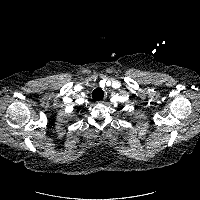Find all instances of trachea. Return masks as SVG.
I'll return each mask as SVG.
<instances>
[{"label":"trachea","mask_w":200,"mask_h":200,"mask_svg":"<svg viewBox=\"0 0 200 200\" xmlns=\"http://www.w3.org/2000/svg\"><path fill=\"white\" fill-rule=\"evenodd\" d=\"M104 92L100 88H96L92 93V98L96 101L103 99Z\"/></svg>","instance_id":"obj_1"}]
</instances>
